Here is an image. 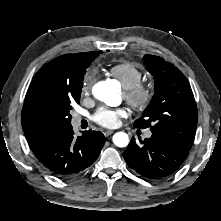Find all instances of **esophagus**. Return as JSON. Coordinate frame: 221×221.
Listing matches in <instances>:
<instances>
[{
	"mask_svg": "<svg viewBox=\"0 0 221 221\" xmlns=\"http://www.w3.org/2000/svg\"><path fill=\"white\" fill-rule=\"evenodd\" d=\"M113 133H114V132L111 131V130H106V131H104V135H105L106 137L110 136V135L113 134Z\"/></svg>",
	"mask_w": 221,
	"mask_h": 221,
	"instance_id": "1",
	"label": "esophagus"
}]
</instances>
